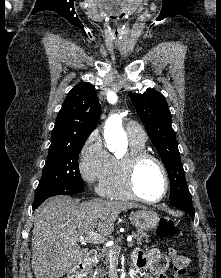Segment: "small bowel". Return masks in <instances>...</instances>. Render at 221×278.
Segmentation results:
<instances>
[{"instance_id":"obj_1","label":"small bowel","mask_w":221,"mask_h":278,"mask_svg":"<svg viewBox=\"0 0 221 278\" xmlns=\"http://www.w3.org/2000/svg\"><path fill=\"white\" fill-rule=\"evenodd\" d=\"M132 258L140 270H146L145 278H167L166 270L169 266V258L158 249L153 248L147 252L135 250Z\"/></svg>"}]
</instances>
